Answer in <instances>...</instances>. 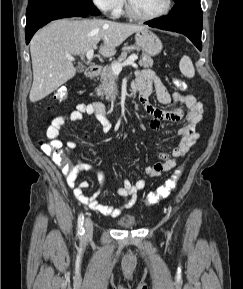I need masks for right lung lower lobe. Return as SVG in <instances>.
Masks as SVG:
<instances>
[{
	"label": "right lung lower lobe",
	"instance_id": "obj_1",
	"mask_svg": "<svg viewBox=\"0 0 243 289\" xmlns=\"http://www.w3.org/2000/svg\"><path fill=\"white\" fill-rule=\"evenodd\" d=\"M98 15L91 0H29L26 12V44L34 33L52 20Z\"/></svg>",
	"mask_w": 243,
	"mask_h": 289
}]
</instances>
